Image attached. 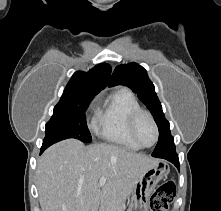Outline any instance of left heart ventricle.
<instances>
[{
	"label": "left heart ventricle",
	"instance_id": "b2bd125f",
	"mask_svg": "<svg viewBox=\"0 0 221 211\" xmlns=\"http://www.w3.org/2000/svg\"><path fill=\"white\" fill-rule=\"evenodd\" d=\"M137 134L140 141L145 145H151L155 140V130L149 118L143 116L137 126Z\"/></svg>",
	"mask_w": 221,
	"mask_h": 211
}]
</instances>
